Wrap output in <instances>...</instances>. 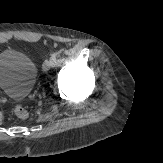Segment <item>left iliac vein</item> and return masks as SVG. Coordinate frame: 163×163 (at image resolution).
<instances>
[{"label": "left iliac vein", "mask_w": 163, "mask_h": 163, "mask_svg": "<svg viewBox=\"0 0 163 163\" xmlns=\"http://www.w3.org/2000/svg\"><path fill=\"white\" fill-rule=\"evenodd\" d=\"M52 65H54V60L52 58L45 60L43 63V70L45 72L49 71Z\"/></svg>", "instance_id": "left-iliac-vein-1"}]
</instances>
